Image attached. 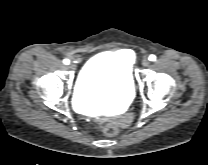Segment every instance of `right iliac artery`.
Instances as JSON below:
<instances>
[{
	"instance_id": "right-iliac-artery-1",
	"label": "right iliac artery",
	"mask_w": 208,
	"mask_h": 165,
	"mask_svg": "<svg viewBox=\"0 0 208 165\" xmlns=\"http://www.w3.org/2000/svg\"><path fill=\"white\" fill-rule=\"evenodd\" d=\"M63 63L66 64V65H68L70 63V61L68 59H64L63 60Z\"/></svg>"
}]
</instances>
